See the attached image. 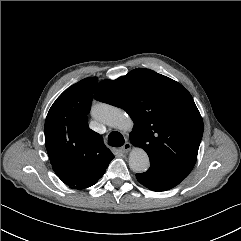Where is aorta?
<instances>
[{"instance_id": "1", "label": "aorta", "mask_w": 241, "mask_h": 241, "mask_svg": "<svg viewBox=\"0 0 241 241\" xmlns=\"http://www.w3.org/2000/svg\"><path fill=\"white\" fill-rule=\"evenodd\" d=\"M94 119L122 131H131L133 121L122 109L105 103H98L91 109ZM129 166L133 172L143 173L150 167V160L144 149L134 147L129 154Z\"/></svg>"}]
</instances>
